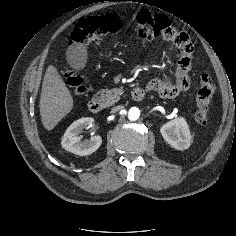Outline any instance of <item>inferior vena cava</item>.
Instances as JSON below:
<instances>
[{"label":"inferior vena cava","mask_w":236,"mask_h":236,"mask_svg":"<svg viewBox=\"0 0 236 236\" xmlns=\"http://www.w3.org/2000/svg\"><path fill=\"white\" fill-rule=\"evenodd\" d=\"M121 109H123V106H121V105L115 106L111 109V113H116V112L120 111Z\"/></svg>","instance_id":"602c4592"}]
</instances>
